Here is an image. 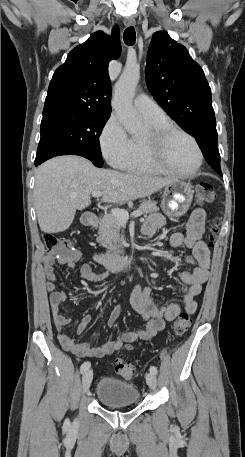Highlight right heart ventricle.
<instances>
[{
  "mask_svg": "<svg viewBox=\"0 0 245 457\" xmlns=\"http://www.w3.org/2000/svg\"><path fill=\"white\" fill-rule=\"evenodd\" d=\"M150 126L166 124L172 122L164 115L154 119H146ZM117 166L124 170L154 171L142 158L140 154V137L131 139L129 153L117 163Z\"/></svg>",
  "mask_w": 245,
  "mask_h": 457,
  "instance_id": "right-heart-ventricle-1",
  "label": "right heart ventricle"
}]
</instances>
